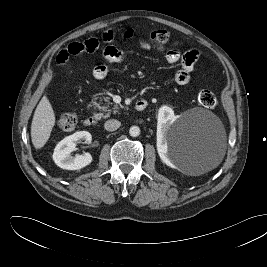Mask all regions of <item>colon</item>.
<instances>
[{"label":"colon","instance_id":"colon-1","mask_svg":"<svg viewBox=\"0 0 267 267\" xmlns=\"http://www.w3.org/2000/svg\"><path fill=\"white\" fill-rule=\"evenodd\" d=\"M124 38L131 37L130 32H126L123 35ZM147 40L150 41L157 48H165L169 45L176 48L178 43H172L167 31L158 30L153 31L147 36ZM175 45V46H174ZM197 102L205 108H215L218 105V99L216 95L209 90H202L197 94ZM59 127L64 131H71L77 125V116L74 112H68L61 115L58 119Z\"/></svg>","mask_w":267,"mask_h":267}]
</instances>
